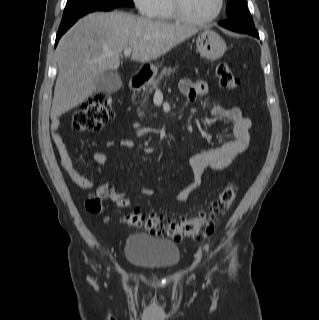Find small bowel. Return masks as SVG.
<instances>
[{
  "mask_svg": "<svg viewBox=\"0 0 319 320\" xmlns=\"http://www.w3.org/2000/svg\"><path fill=\"white\" fill-rule=\"evenodd\" d=\"M181 92L191 101L207 93L208 87L205 82L182 80ZM211 114L220 119H227L233 123L234 140L226 142L223 146L215 149L201 151L193 154L189 159L191 167V180L187 186L180 190L174 197L177 202L186 201L193 191L202 183V175L206 170L220 171L226 169L239 154L243 153L250 145L251 120L245 117L238 107L225 108L220 104L213 106ZM58 121L52 122L53 143L59 155L60 164L69 179L82 189L92 190L99 197H107L112 202H119L123 197L112 193L108 184L96 185L92 180L83 176L75 167L68 148L58 132ZM91 161L95 165L114 164L115 161L109 155L102 152H94ZM142 196L151 197L156 189L143 188L139 192Z\"/></svg>",
  "mask_w": 319,
  "mask_h": 320,
  "instance_id": "c3829d8e",
  "label": "small bowel"
}]
</instances>
